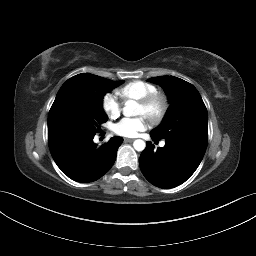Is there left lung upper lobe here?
<instances>
[{
	"instance_id": "5c2ea615",
	"label": "left lung upper lobe",
	"mask_w": 256,
	"mask_h": 256,
	"mask_svg": "<svg viewBox=\"0 0 256 256\" xmlns=\"http://www.w3.org/2000/svg\"><path fill=\"white\" fill-rule=\"evenodd\" d=\"M148 81L160 84L170 102L163 121L150 132L151 137L158 140L183 141L206 150L208 115L197 89L174 76H159Z\"/></svg>"
}]
</instances>
